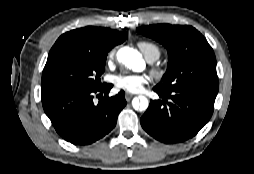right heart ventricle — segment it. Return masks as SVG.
<instances>
[{
  "label": "right heart ventricle",
  "instance_id": "1",
  "mask_svg": "<svg viewBox=\"0 0 254 174\" xmlns=\"http://www.w3.org/2000/svg\"><path fill=\"white\" fill-rule=\"evenodd\" d=\"M138 47L143 52L145 58L150 61H155L160 57L161 51L158 45L150 41H139Z\"/></svg>",
  "mask_w": 254,
  "mask_h": 174
}]
</instances>
